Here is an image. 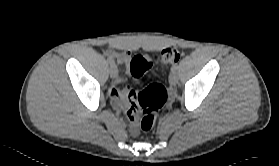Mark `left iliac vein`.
Segmentation results:
<instances>
[{
	"label": "left iliac vein",
	"instance_id": "1",
	"mask_svg": "<svg viewBox=\"0 0 279 166\" xmlns=\"http://www.w3.org/2000/svg\"><path fill=\"white\" fill-rule=\"evenodd\" d=\"M169 83L173 86L178 83V74H177L176 70L171 71V73L169 75Z\"/></svg>",
	"mask_w": 279,
	"mask_h": 166
}]
</instances>
